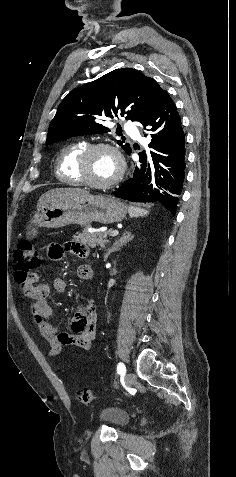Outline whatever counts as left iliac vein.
Listing matches in <instances>:
<instances>
[{
	"instance_id": "obj_1",
	"label": "left iliac vein",
	"mask_w": 236,
	"mask_h": 477,
	"mask_svg": "<svg viewBox=\"0 0 236 477\" xmlns=\"http://www.w3.org/2000/svg\"><path fill=\"white\" fill-rule=\"evenodd\" d=\"M135 379H136V377H135L134 373L129 372L125 376V384L130 387L135 383Z\"/></svg>"
}]
</instances>
